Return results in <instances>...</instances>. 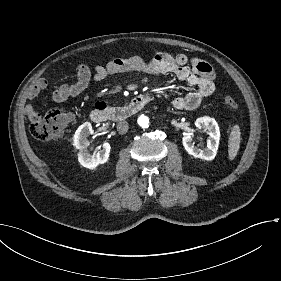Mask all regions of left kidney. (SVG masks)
Listing matches in <instances>:
<instances>
[{"mask_svg":"<svg viewBox=\"0 0 281 281\" xmlns=\"http://www.w3.org/2000/svg\"><path fill=\"white\" fill-rule=\"evenodd\" d=\"M194 126L197 129L208 130L209 138L207 145L204 148L195 146L192 142V135L190 133H186L182 138L185 150L196 158H200L205 161H212L216 156L220 139L218 124L213 118L202 117L195 120Z\"/></svg>","mask_w":281,"mask_h":281,"instance_id":"obj_1","label":"left kidney"}]
</instances>
